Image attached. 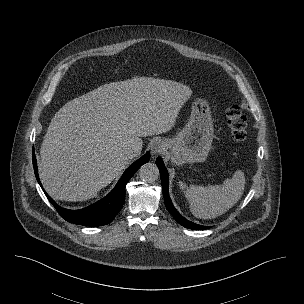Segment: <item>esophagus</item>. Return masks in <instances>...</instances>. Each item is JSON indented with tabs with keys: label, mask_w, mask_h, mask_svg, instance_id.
I'll use <instances>...</instances> for the list:
<instances>
[{
	"label": "esophagus",
	"mask_w": 304,
	"mask_h": 304,
	"mask_svg": "<svg viewBox=\"0 0 304 304\" xmlns=\"http://www.w3.org/2000/svg\"><path fill=\"white\" fill-rule=\"evenodd\" d=\"M164 149H165V143L162 140L157 139L151 145V154L157 155L161 153Z\"/></svg>",
	"instance_id": "obj_1"
}]
</instances>
